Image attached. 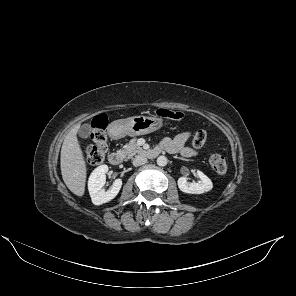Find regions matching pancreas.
<instances>
[{
    "instance_id": "obj_1",
    "label": "pancreas",
    "mask_w": 296,
    "mask_h": 296,
    "mask_svg": "<svg viewBox=\"0 0 296 296\" xmlns=\"http://www.w3.org/2000/svg\"><path fill=\"white\" fill-rule=\"evenodd\" d=\"M120 152L129 159L135 154L143 153L144 150L137 144L136 138H133Z\"/></svg>"
}]
</instances>
